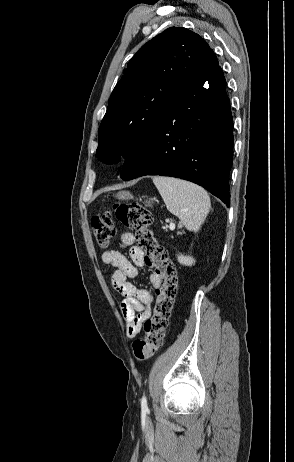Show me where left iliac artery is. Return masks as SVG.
<instances>
[{
  "instance_id": "44dca946",
  "label": "left iliac artery",
  "mask_w": 294,
  "mask_h": 462,
  "mask_svg": "<svg viewBox=\"0 0 294 462\" xmlns=\"http://www.w3.org/2000/svg\"><path fill=\"white\" fill-rule=\"evenodd\" d=\"M141 408L143 411H148V406H147V398L145 395H143L141 399Z\"/></svg>"
}]
</instances>
